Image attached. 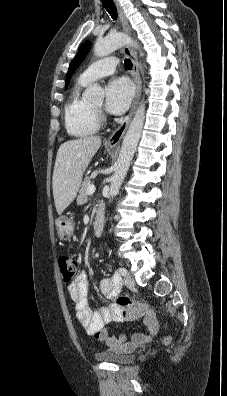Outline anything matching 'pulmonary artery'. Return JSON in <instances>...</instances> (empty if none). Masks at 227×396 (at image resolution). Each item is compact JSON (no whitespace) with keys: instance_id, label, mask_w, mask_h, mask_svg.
Instances as JSON below:
<instances>
[{"instance_id":"pulmonary-artery-1","label":"pulmonary artery","mask_w":227,"mask_h":396,"mask_svg":"<svg viewBox=\"0 0 227 396\" xmlns=\"http://www.w3.org/2000/svg\"><path fill=\"white\" fill-rule=\"evenodd\" d=\"M118 65V59L107 57L90 64L80 75V79L86 82H92L101 77L110 75L115 72Z\"/></svg>"}]
</instances>
